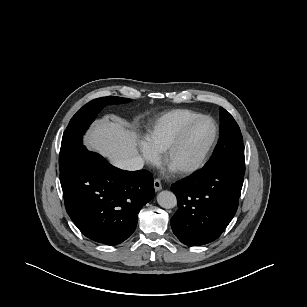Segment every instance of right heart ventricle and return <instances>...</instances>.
Returning <instances> with one entry per match:
<instances>
[{
  "label": "right heart ventricle",
  "instance_id": "obj_1",
  "mask_svg": "<svg viewBox=\"0 0 307 307\" xmlns=\"http://www.w3.org/2000/svg\"><path fill=\"white\" fill-rule=\"evenodd\" d=\"M202 115L189 109H173L158 117L150 130L146 142L157 153H162L181 128L190 120Z\"/></svg>",
  "mask_w": 307,
  "mask_h": 307
}]
</instances>
